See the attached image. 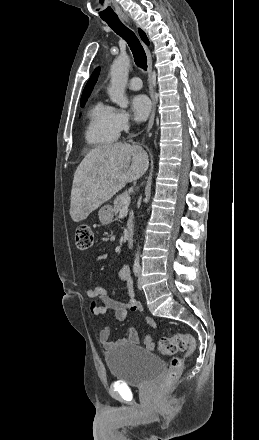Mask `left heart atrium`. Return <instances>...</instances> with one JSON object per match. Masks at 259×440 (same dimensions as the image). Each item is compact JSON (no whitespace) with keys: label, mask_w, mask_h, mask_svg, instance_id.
I'll return each instance as SVG.
<instances>
[{"label":"left heart atrium","mask_w":259,"mask_h":440,"mask_svg":"<svg viewBox=\"0 0 259 440\" xmlns=\"http://www.w3.org/2000/svg\"><path fill=\"white\" fill-rule=\"evenodd\" d=\"M132 107L134 114L138 120H145L151 111V101L144 95L139 94L133 97Z\"/></svg>","instance_id":"obj_1"}]
</instances>
